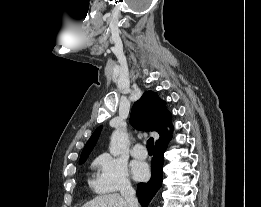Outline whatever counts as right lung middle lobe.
Segmentation results:
<instances>
[{
	"mask_svg": "<svg viewBox=\"0 0 261 207\" xmlns=\"http://www.w3.org/2000/svg\"><path fill=\"white\" fill-rule=\"evenodd\" d=\"M87 157L86 158H83V159H80L79 160V164H83L85 161H86Z\"/></svg>",
	"mask_w": 261,
	"mask_h": 207,
	"instance_id": "obj_1",
	"label": "right lung middle lobe"
}]
</instances>
